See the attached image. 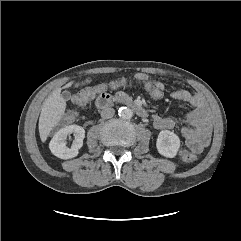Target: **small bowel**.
<instances>
[{
	"mask_svg": "<svg viewBox=\"0 0 241 241\" xmlns=\"http://www.w3.org/2000/svg\"><path fill=\"white\" fill-rule=\"evenodd\" d=\"M136 78L142 82L158 85L164 84L150 75L139 73ZM172 98L188 103L192 110L182 119L171 116L154 115L153 125L157 129H172L181 126V133L186 145L194 153H200L208 146L211 136V119L203 98L185 89H176L171 93Z\"/></svg>",
	"mask_w": 241,
	"mask_h": 241,
	"instance_id": "c3829d8e",
	"label": "small bowel"
}]
</instances>
